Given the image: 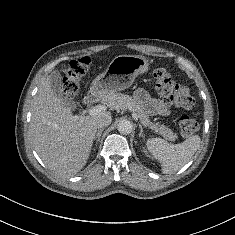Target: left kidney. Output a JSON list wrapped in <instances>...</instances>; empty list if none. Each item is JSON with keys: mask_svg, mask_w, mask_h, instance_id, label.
I'll return each mask as SVG.
<instances>
[{"mask_svg": "<svg viewBox=\"0 0 235 235\" xmlns=\"http://www.w3.org/2000/svg\"><path fill=\"white\" fill-rule=\"evenodd\" d=\"M143 152L146 154V156H148L147 151L145 150V148H143Z\"/></svg>", "mask_w": 235, "mask_h": 235, "instance_id": "left-kidney-1", "label": "left kidney"}]
</instances>
